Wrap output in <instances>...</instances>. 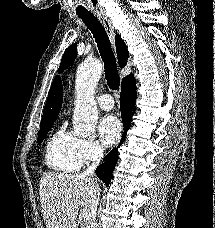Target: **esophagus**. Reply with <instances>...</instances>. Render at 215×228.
<instances>
[{
  "label": "esophagus",
  "mask_w": 215,
  "mask_h": 228,
  "mask_svg": "<svg viewBox=\"0 0 215 228\" xmlns=\"http://www.w3.org/2000/svg\"><path fill=\"white\" fill-rule=\"evenodd\" d=\"M97 17L105 28L112 47L115 49V32L111 20L105 14H98Z\"/></svg>",
  "instance_id": "esophagus-1"
}]
</instances>
